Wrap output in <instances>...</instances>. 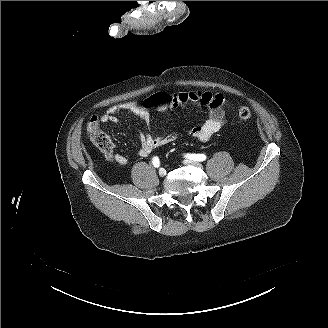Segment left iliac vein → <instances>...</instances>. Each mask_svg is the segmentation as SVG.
<instances>
[{
  "label": "left iliac vein",
  "instance_id": "1",
  "mask_svg": "<svg viewBox=\"0 0 328 328\" xmlns=\"http://www.w3.org/2000/svg\"><path fill=\"white\" fill-rule=\"evenodd\" d=\"M184 164L185 165H188V166H192V167H198V168H202L203 165L199 162H196V161H192V160H185L184 161Z\"/></svg>",
  "mask_w": 328,
  "mask_h": 328
}]
</instances>
